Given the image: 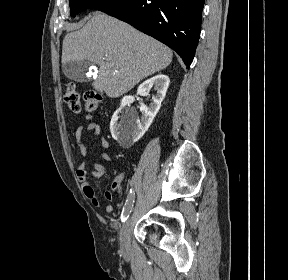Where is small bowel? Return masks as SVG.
Segmentation results:
<instances>
[{"mask_svg": "<svg viewBox=\"0 0 288 280\" xmlns=\"http://www.w3.org/2000/svg\"><path fill=\"white\" fill-rule=\"evenodd\" d=\"M84 132H92L96 136H100V145L102 148L107 149L109 147V141L108 139L102 135V129L101 126L98 123L92 122L90 123L86 129L83 126H78L75 132V139L76 143L79 149V152L81 156L86 157L88 155V149L85 143L83 142V135ZM100 157L104 161H110L111 157L108 153L103 152L101 153ZM93 169H90L87 165V163L83 162L80 164V166L77 169V178L81 185V188L83 190L84 195L86 198L97 207H100V201L95 193L94 188L91 186V184L88 181V177L91 176L93 178H101L107 171L108 168L99 164V163H93ZM122 179V175L118 176L115 182L113 183V190H114V184L120 183ZM114 197V194L112 191H107L105 193V198L109 201H111ZM105 212L106 213H112L113 212V206L111 204H108L105 206Z\"/></svg>", "mask_w": 288, "mask_h": 280, "instance_id": "obj_1", "label": "small bowel"}]
</instances>
